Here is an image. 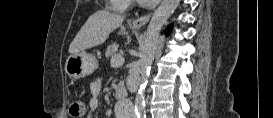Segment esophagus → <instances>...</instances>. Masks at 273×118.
I'll use <instances>...</instances> for the list:
<instances>
[{"mask_svg": "<svg viewBox=\"0 0 273 118\" xmlns=\"http://www.w3.org/2000/svg\"><path fill=\"white\" fill-rule=\"evenodd\" d=\"M150 17H151V14H147L145 16H142V17L134 20L132 23L133 27L140 28V27L144 26L146 23H148Z\"/></svg>", "mask_w": 273, "mask_h": 118, "instance_id": "1", "label": "esophagus"}]
</instances>
